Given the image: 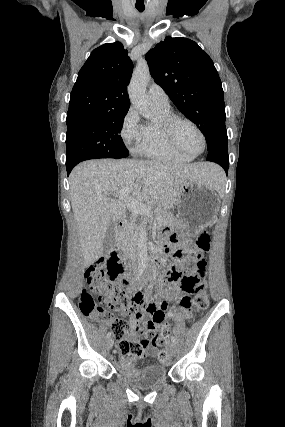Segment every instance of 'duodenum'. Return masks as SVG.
<instances>
[{
    "label": "duodenum",
    "mask_w": 285,
    "mask_h": 427,
    "mask_svg": "<svg viewBox=\"0 0 285 427\" xmlns=\"http://www.w3.org/2000/svg\"><path fill=\"white\" fill-rule=\"evenodd\" d=\"M127 226V220L125 218H119L115 222V228L116 230H123ZM114 253H116V250H113ZM156 255L155 259H158L159 257H162V255L165 253V247H162L160 249H156L154 252Z\"/></svg>",
    "instance_id": "410a0bca"
}]
</instances>
